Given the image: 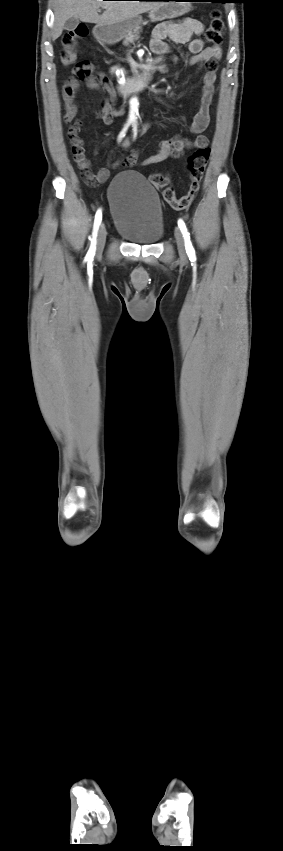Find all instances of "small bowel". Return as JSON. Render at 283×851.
<instances>
[{"label": "small bowel", "mask_w": 283, "mask_h": 851, "mask_svg": "<svg viewBox=\"0 0 283 851\" xmlns=\"http://www.w3.org/2000/svg\"><path fill=\"white\" fill-rule=\"evenodd\" d=\"M203 31V24L195 19H182L179 21H168L160 23L153 31L151 40L152 51L157 55H166L170 51L169 45L165 42L166 38L171 39L175 43H188V49L192 56L187 60L188 65L203 67L206 64L207 71L203 77V86L199 101V110L195 114L190 125V131L197 136L194 139H189L181 136H175L171 139L162 140L154 155L143 160L140 165L148 166L160 163L168 158H179L185 151L191 148H201L208 145V138L202 132L208 127L210 121V105L215 88L217 62L221 56L219 46L205 47L204 42L200 38L192 39L193 35H198ZM177 61V58H174ZM93 65L89 62L77 64L73 70V76L66 81L63 87V100L65 104V122H72L68 129V137L72 145L73 158L78 168L81 170L83 177L90 184L104 183L108 180L110 172L108 168L102 167L93 172L92 163L85 155L83 140L79 137L81 124L79 120H75L78 113V106L75 103L77 90L85 86L88 89L100 90L103 89L110 97L106 99L99 113L100 119L104 124L110 125L113 118L123 114L122 109H117L113 105V97L117 94V89L110 86L103 75H99L100 82L92 75ZM151 124H147L142 129V133L150 128ZM131 140L127 139L124 146L128 147ZM138 152L132 151L129 155L117 160L108 162V167L115 168L120 165L134 166L137 164Z\"/></svg>", "instance_id": "c3829d8e"}]
</instances>
